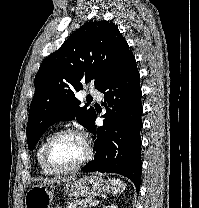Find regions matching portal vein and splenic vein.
<instances>
[{"label": "portal vein and splenic vein", "instance_id": "1", "mask_svg": "<svg viewBox=\"0 0 199 208\" xmlns=\"http://www.w3.org/2000/svg\"><path fill=\"white\" fill-rule=\"evenodd\" d=\"M99 204V202H92L91 204H90V206H97Z\"/></svg>", "mask_w": 199, "mask_h": 208}]
</instances>
